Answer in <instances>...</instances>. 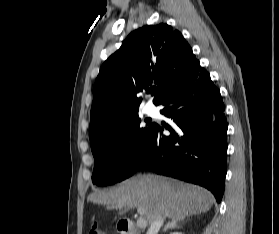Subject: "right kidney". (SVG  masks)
<instances>
[{"mask_svg": "<svg viewBox=\"0 0 279 234\" xmlns=\"http://www.w3.org/2000/svg\"><path fill=\"white\" fill-rule=\"evenodd\" d=\"M170 234H183V233H180V232H173V233H170Z\"/></svg>", "mask_w": 279, "mask_h": 234, "instance_id": "1", "label": "right kidney"}]
</instances>
